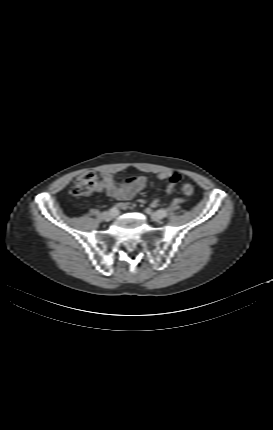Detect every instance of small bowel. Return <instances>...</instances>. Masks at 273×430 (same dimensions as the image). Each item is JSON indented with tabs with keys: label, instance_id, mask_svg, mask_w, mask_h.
Listing matches in <instances>:
<instances>
[{
	"label": "small bowel",
	"instance_id": "obj_1",
	"mask_svg": "<svg viewBox=\"0 0 273 430\" xmlns=\"http://www.w3.org/2000/svg\"><path fill=\"white\" fill-rule=\"evenodd\" d=\"M101 181L98 185L99 192H105L110 197H113L119 201H129L139 192H141L147 185L148 178L146 176H137L131 179H127L122 183L115 182L113 176L110 173L104 172L100 174ZM160 180H166L169 182L167 187V193L169 195L173 194L174 186L179 181L180 176L174 171H168L159 173L157 176ZM180 201L181 199H177ZM144 203V200H140ZM152 207H157L159 205V199L154 198L151 201ZM118 206L121 209H126L129 207L127 203H119Z\"/></svg>",
	"mask_w": 273,
	"mask_h": 430
}]
</instances>
